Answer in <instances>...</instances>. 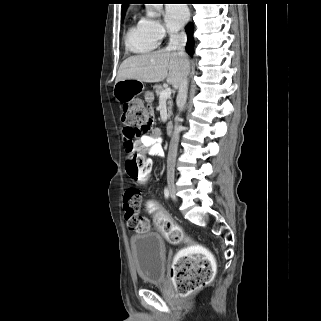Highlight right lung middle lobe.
<instances>
[{
  "label": "right lung middle lobe",
  "instance_id": "1",
  "mask_svg": "<svg viewBox=\"0 0 321 321\" xmlns=\"http://www.w3.org/2000/svg\"><path fill=\"white\" fill-rule=\"evenodd\" d=\"M124 14H125V13L122 14V20H123Z\"/></svg>",
  "mask_w": 321,
  "mask_h": 321
}]
</instances>
